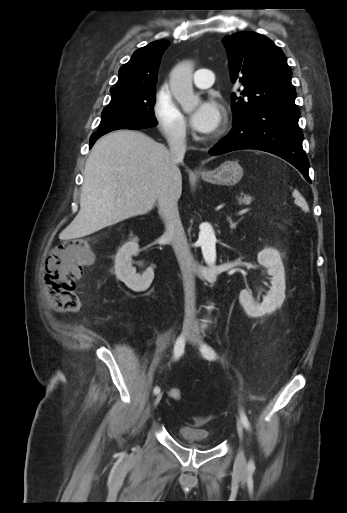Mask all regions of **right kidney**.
<instances>
[{"instance_id": "obj_1", "label": "right kidney", "mask_w": 347, "mask_h": 513, "mask_svg": "<svg viewBox=\"0 0 347 513\" xmlns=\"http://www.w3.org/2000/svg\"><path fill=\"white\" fill-rule=\"evenodd\" d=\"M139 251L138 239L133 238L119 248L115 257V275L128 288L140 292L146 290L153 281L154 271L148 268L142 275L132 266V256Z\"/></svg>"}]
</instances>
